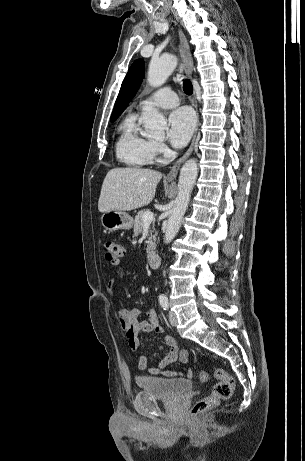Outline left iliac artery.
<instances>
[{
    "label": "left iliac artery",
    "mask_w": 305,
    "mask_h": 461,
    "mask_svg": "<svg viewBox=\"0 0 305 461\" xmlns=\"http://www.w3.org/2000/svg\"><path fill=\"white\" fill-rule=\"evenodd\" d=\"M159 303L164 310L168 309V298L166 295L162 294L159 296Z\"/></svg>",
    "instance_id": "44dca946"
}]
</instances>
